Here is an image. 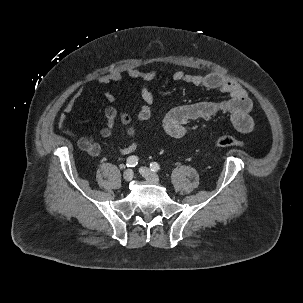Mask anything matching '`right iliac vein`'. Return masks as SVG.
Wrapping results in <instances>:
<instances>
[{
	"label": "right iliac vein",
	"mask_w": 303,
	"mask_h": 303,
	"mask_svg": "<svg viewBox=\"0 0 303 303\" xmlns=\"http://www.w3.org/2000/svg\"><path fill=\"white\" fill-rule=\"evenodd\" d=\"M134 173L131 169H127L124 173H123V178L125 181L129 182L133 179Z\"/></svg>",
	"instance_id": "obj_1"
}]
</instances>
